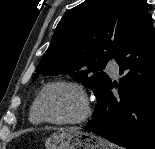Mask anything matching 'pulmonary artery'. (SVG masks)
<instances>
[{
	"instance_id": "pulmonary-artery-1",
	"label": "pulmonary artery",
	"mask_w": 155,
	"mask_h": 149,
	"mask_svg": "<svg viewBox=\"0 0 155 149\" xmlns=\"http://www.w3.org/2000/svg\"><path fill=\"white\" fill-rule=\"evenodd\" d=\"M107 69L110 71L111 74L114 76H118L119 74V65L116 61L112 60L108 63Z\"/></svg>"
}]
</instances>
